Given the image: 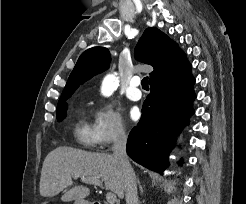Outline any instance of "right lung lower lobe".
Listing matches in <instances>:
<instances>
[{
    "mask_svg": "<svg viewBox=\"0 0 246 204\" xmlns=\"http://www.w3.org/2000/svg\"><path fill=\"white\" fill-rule=\"evenodd\" d=\"M194 82L190 63L150 81V94L144 101L142 117L127 141L129 157L150 170L163 173L169 165L168 155L175 138L193 113Z\"/></svg>",
    "mask_w": 246,
    "mask_h": 204,
    "instance_id": "1",
    "label": "right lung lower lobe"
}]
</instances>
